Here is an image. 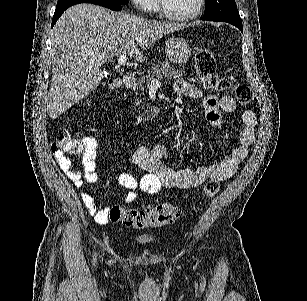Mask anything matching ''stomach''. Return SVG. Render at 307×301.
<instances>
[{
	"mask_svg": "<svg viewBox=\"0 0 307 301\" xmlns=\"http://www.w3.org/2000/svg\"><path fill=\"white\" fill-rule=\"evenodd\" d=\"M165 52L170 62L173 64H182L187 62L191 56V46L188 44L186 38L180 36H173L168 38L165 42Z\"/></svg>",
	"mask_w": 307,
	"mask_h": 301,
	"instance_id": "obj_1",
	"label": "stomach"
}]
</instances>
